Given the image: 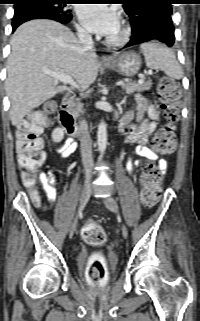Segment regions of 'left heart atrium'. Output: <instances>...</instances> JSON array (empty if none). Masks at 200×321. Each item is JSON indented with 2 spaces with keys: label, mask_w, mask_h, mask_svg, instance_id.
Returning <instances> with one entry per match:
<instances>
[{
  "label": "left heart atrium",
  "mask_w": 200,
  "mask_h": 321,
  "mask_svg": "<svg viewBox=\"0 0 200 321\" xmlns=\"http://www.w3.org/2000/svg\"><path fill=\"white\" fill-rule=\"evenodd\" d=\"M77 14L87 30L99 35L110 36L120 27L116 9L107 4H82Z\"/></svg>",
  "instance_id": "1"
}]
</instances>
